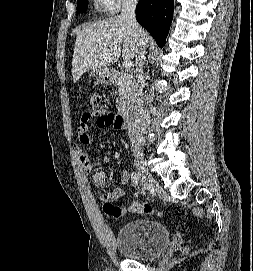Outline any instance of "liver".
I'll return each instance as SVG.
<instances>
[{
  "mask_svg": "<svg viewBox=\"0 0 253 271\" xmlns=\"http://www.w3.org/2000/svg\"><path fill=\"white\" fill-rule=\"evenodd\" d=\"M148 40V35L144 32L145 45ZM137 44L132 27L121 16L78 29L72 61L73 81H78L86 71L107 68L118 60L121 53L124 60L136 58Z\"/></svg>",
  "mask_w": 253,
  "mask_h": 271,
  "instance_id": "6515ba94",
  "label": "liver"
}]
</instances>
